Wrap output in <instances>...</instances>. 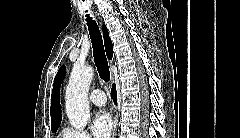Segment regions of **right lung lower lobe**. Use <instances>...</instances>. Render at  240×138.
<instances>
[{"label":"right lung lower lobe","instance_id":"1","mask_svg":"<svg viewBox=\"0 0 240 138\" xmlns=\"http://www.w3.org/2000/svg\"><path fill=\"white\" fill-rule=\"evenodd\" d=\"M112 97H113V100H114V103L116 104V100H117V93H116V88H115V84H113L112 86Z\"/></svg>","mask_w":240,"mask_h":138}]
</instances>
